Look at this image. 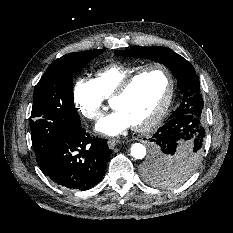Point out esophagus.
Segmentation results:
<instances>
[{"label":"esophagus","instance_id":"1","mask_svg":"<svg viewBox=\"0 0 233 233\" xmlns=\"http://www.w3.org/2000/svg\"><path fill=\"white\" fill-rule=\"evenodd\" d=\"M118 142H119V140H117V139H109L108 140V146H109V148L113 149Z\"/></svg>","mask_w":233,"mask_h":233}]
</instances>
